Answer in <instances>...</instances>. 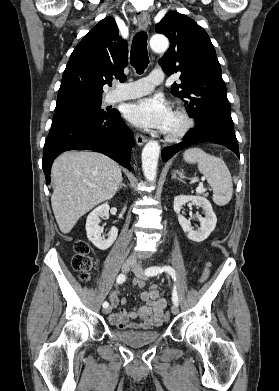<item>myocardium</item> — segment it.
Here are the masks:
<instances>
[{"label":"myocardium","instance_id":"obj_1","mask_svg":"<svg viewBox=\"0 0 279 391\" xmlns=\"http://www.w3.org/2000/svg\"><path fill=\"white\" fill-rule=\"evenodd\" d=\"M172 114L180 120L181 124L173 131H165V139L170 142L182 139L193 126V119L182 107H176Z\"/></svg>","mask_w":279,"mask_h":391}]
</instances>
